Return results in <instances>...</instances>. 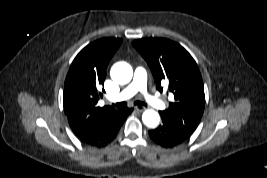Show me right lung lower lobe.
I'll return each instance as SVG.
<instances>
[{"mask_svg": "<svg viewBox=\"0 0 267 178\" xmlns=\"http://www.w3.org/2000/svg\"><path fill=\"white\" fill-rule=\"evenodd\" d=\"M132 108L122 107L111 116L88 125L82 133L76 134L85 145L102 148L110 144L116 137Z\"/></svg>", "mask_w": 267, "mask_h": 178, "instance_id": "obj_1", "label": "right lung lower lobe"}]
</instances>
